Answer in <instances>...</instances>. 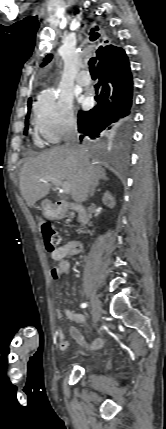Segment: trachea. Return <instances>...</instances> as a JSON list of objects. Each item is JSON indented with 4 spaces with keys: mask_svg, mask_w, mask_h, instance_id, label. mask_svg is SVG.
Returning a JSON list of instances; mask_svg holds the SVG:
<instances>
[{
    "mask_svg": "<svg viewBox=\"0 0 166 429\" xmlns=\"http://www.w3.org/2000/svg\"><path fill=\"white\" fill-rule=\"evenodd\" d=\"M95 64H96V58L93 57L89 60V70L91 73H96Z\"/></svg>",
    "mask_w": 166,
    "mask_h": 429,
    "instance_id": "3493384b",
    "label": "trachea"
}]
</instances>
